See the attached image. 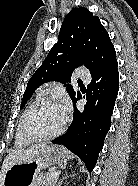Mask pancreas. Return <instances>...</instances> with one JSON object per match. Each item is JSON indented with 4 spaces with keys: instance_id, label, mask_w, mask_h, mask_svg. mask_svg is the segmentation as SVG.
I'll return each mask as SVG.
<instances>
[{
    "instance_id": "cf45deb5",
    "label": "pancreas",
    "mask_w": 138,
    "mask_h": 186,
    "mask_svg": "<svg viewBox=\"0 0 138 186\" xmlns=\"http://www.w3.org/2000/svg\"><path fill=\"white\" fill-rule=\"evenodd\" d=\"M55 171L49 170L46 173H40L33 182V186H55L57 182V178L51 179V174Z\"/></svg>"
}]
</instances>
